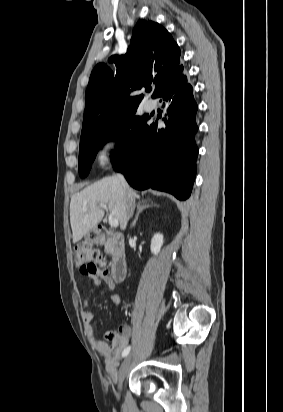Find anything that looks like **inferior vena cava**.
<instances>
[{"label": "inferior vena cava", "mask_w": 283, "mask_h": 412, "mask_svg": "<svg viewBox=\"0 0 283 412\" xmlns=\"http://www.w3.org/2000/svg\"><path fill=\"white\" fill-rule=\"evenodd\" d=\"M121 185L123 188L126 190V203H125V208H126V214L128 219L132 217L134 207H135V199L132 191L129 189L128 184L122 174L117 175Z\"/></svg>", "instance_id": "602c4592"}]
</instances>
